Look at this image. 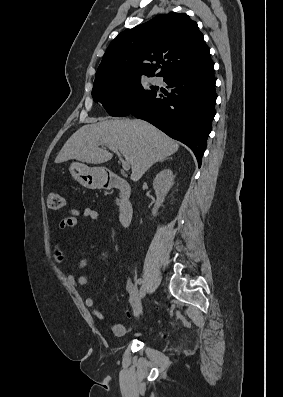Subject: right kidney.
I'll list each match as a JSON object with an SVG mask.
<instances>
[{"label":"right kidney","instance_id":"obj_1","mask_svg":"<svg viewBox=\"0 0 283 397\" xmlns=\"http://www.w3.org/2000/svg\"><path fill=\"white\" fill-rule=\"evenodd\" d=\"M174 178L175 176L173 175V172L168 168L160 171L154 178L153 188L155 190L157 200L152 209V215L157 214L159 207L164 202L167 193L174 184Z\"/></svg>","mask_w":283,"mask_h":397}]
</instances>
